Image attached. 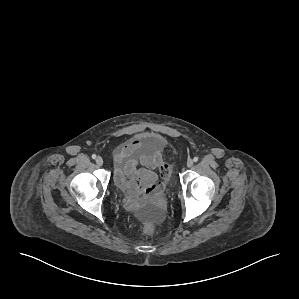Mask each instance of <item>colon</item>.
<instances>
[{
  "mask_svg": "<svg viewBox=\"0 0 299 299\" xmlns=\"http://www.w3.org/2000/svg\"><path fill=\"white\" fill-rule=\"evenodd\" d=\"M155 230H156V227H155V225L152 224V223H148V224H146V225L144 226V228H143V232H144L145 234H147V235H151V234H153V233L155 232Z\"/></svg>",
  "mask_w": 299,
  "mask_h": 299,
  "instance_id": "obj_1",
  "label": "colon"
}]
</instances>
